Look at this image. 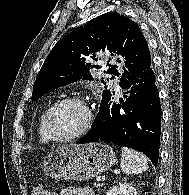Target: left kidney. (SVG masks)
Segmentation results:
<instances>
[{
    "label": "left kidney",
    "mask_w": 189,
    "mask_h": 195,
    "mask_svg": "<svg viewBox=\"0 0 189 195\" xmlns=\"http://www.w3.org/2000/svg\"><path fill=\"white\" fill-rule=\"evenodd\" d=\"M107 195H137L136 189L127 183H119L113 186Z\"/></svg>",
    "instance_id": "5707ae66"
}]
</instances>
